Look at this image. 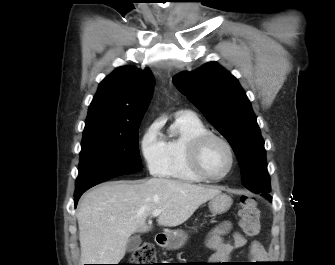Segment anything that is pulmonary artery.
<instances>
[{
  "instance_id": "e3ab8cb5",
  "label": "pulmonary artery",
  "mask_w": 335,
  "mask_h": 265,
  "mask_svg": "<svg viewBox=\"0 0 335 265\" xmlns=\"http://www.w3.org/2000/svg\"><path fill=\"white\" fill-rule=\"evenodd\" d=\"M177 116H188V117H196V115L189 110H180L176 113Z\"/></svg>"
}]
</instances>
